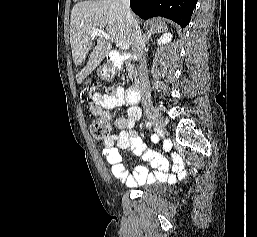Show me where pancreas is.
<instances>
[{
  "label": "pancreas",
  "mask_w": 257,
  "mask_h": 237,
  "mask_svg": "<svg viewBox=\"0 0 257 237\" xmlns=\"http://www.w3.org/2000/svg\"><path fill=\"white\" fill-rule=\"evenodd\" d=\"M126 70H127L129 79H131V80L135 79L136 69L132 63L129 62L126 64Z\"/></svg>",
  "instance_id": "pancreas-1"
}]
</instances>
